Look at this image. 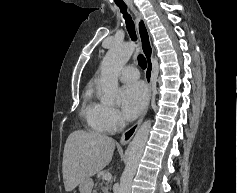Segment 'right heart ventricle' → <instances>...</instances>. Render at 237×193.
Returning a JSON list of instances; mask_svg holds the SVG:
<instances>
[{"label": "right heart ventricle", "instance_id": "right-heart-ventricle-1", "mask_svg": "<svg viewBox=\"0 0 237 193\" xmlns=\"http://www.w3.org/2000/svg\"><path fill=\"white\" fill-rule=\"evenodd\" d=\"M105 105L96 98L93 84H89L82 94L81 114L89 129L96 133L109 132L104 122Z\"/></svg>", "mask_w": 237, "mask_h": 193}]
</instances>
